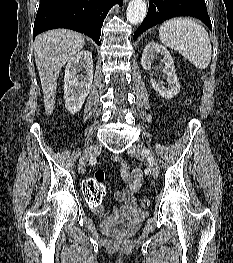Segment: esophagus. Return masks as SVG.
<instances>
[{
  "mask_svg": "<svg viewBox=\"0 0 233 263\" xmlns=\"http://www.w3.org/2000/svg\"><path fill=\"white\" fill-rule=\"evenodd\" d=\"M123 1H124V3L128 2V0H123Z\"/></svg>",
  "mask_w": 233,
  "mask_h": 263,
  "instance_id": "1",
  "label": "esophagus"
}]
</instances>
